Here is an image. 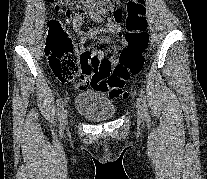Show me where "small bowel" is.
Returning <instances> with one entry per match:
<instances>
[{"instance_id":"c3829d8e","label":"small bowel","mask_w":207,"mask_h":179,"mask_svg":"<svg viewBox=\"0 0 207 179\" xmlns=\"http://www.w3.org/2000/svg\"><path fill=\"white\" fill-rule=\"evenodd\" d=\"M109 15H110V19L105 21L100 14L96 12H88L82 16L75 17L73 19L72 25L74 29L79 32L82 42H85L89 39H93L97 37L102 31L114 34L115 36H118V37H122L123 29L120 26V23L123 18L122 10L114 6ZM85 19H89L94 22H104L106 24V27L102 30L101 29L82 30L81 29L82 22ZM53 21H57V20H53ZM104 39L107 40V38H104ZM94 54L98 56H102L103 52L97 51V52H94ZM84 86L86 85L83 83L78 84L79 88H83Z\"/></svg>"}]
</instances>
